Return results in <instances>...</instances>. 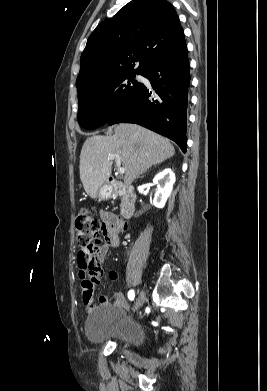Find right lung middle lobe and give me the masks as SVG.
Instances as JSON below:
<instances>
[{
	"instance_id": "dd1d6c3e",
	"label": "right lung middle lobe",
	"mask_w": 267,
	"mask_h": 391,
	"mask_svg": "<svg viewBox=\"0 0 267 391\" xmlns=\"http://www.w3.org/2000/svg\"><path fill=\"white\" fill-rule=\"evenodd\" d=\"M141 71H124L102 77L78 93V122L85 129L98 128L109 121L142 87L135 80Z\"/></svg>"
}]
</instances>
